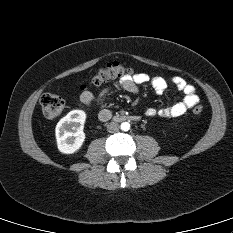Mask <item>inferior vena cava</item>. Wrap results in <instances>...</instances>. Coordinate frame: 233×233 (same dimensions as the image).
I'll return each mask as SVG.
<instances>
[{
  "instance_id": "1",
  "label": "inferior vena cava",
  "mask_w": 233,
  "mask_h": 233,
  "mask_svg": "<svg viewBox=\"0 0 233 233\" xmlns=\"http://www.w3.org/2000/svg\"><path fill=\"white\" fill-rule=\"evenodd\" d=\"M119 128H120V126L116 122H110L107 124V131L110 133L118 132Z\"/></svg>"
}]
</instances>
